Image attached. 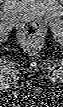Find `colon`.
<instances>
[{"instance_id":"obj_1","label":"colon","mask_w":63,"mask_h":107,"mask_svg":"<svg viewBox=\"0 0 63 107\" xmlns=\"http://www.w3.org/2000/svg\"><path fill=\"white\" fill-rule=\"evenodd\" d=\"M42 34V26L38 22H32L24 26L21 32L22 39L30 45L36 44L42 37Z\"/></svg>"}]
</instances>
